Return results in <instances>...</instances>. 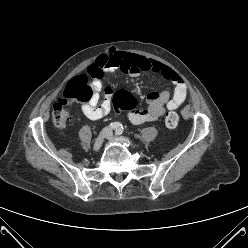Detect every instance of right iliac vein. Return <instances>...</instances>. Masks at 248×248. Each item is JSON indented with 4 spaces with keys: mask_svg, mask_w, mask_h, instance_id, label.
Masks as SVG:
<instances>
[{
    "mask_svg": "<svg viewBox=\"0 0 248 248\" xmlns=\"http://www.w3.org/2000/svg\"><path fill=\"white\" fill-rule=\"evenodd\" d=\"M108 129H103L99 136L96 138L95 142H94V145H93V151L94 152H97L100 150L102 144H103V141L105 139V137L107 136V133H108Z\"/></svg>",
    "mask_w": 248,
    "mask_h": 248,
    "instance_id": "obj_1",
    "label": "right iliac vein"
}]
</instances>
